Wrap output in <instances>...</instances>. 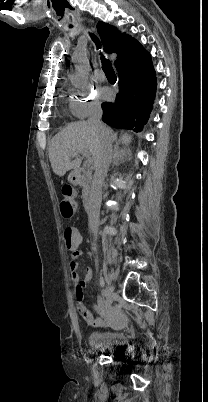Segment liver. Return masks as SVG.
<instances>
[{"mask_svg":"<svg viewBox=\"0 0 208 402\" xmlns=\"http://www.w3.org/2000/svg\"><path fill=\"white\" fill-rule=\"evenodd\" d=\"M107 136H110L109 130L105 134L96 126H90L88 122L69 124L62 132L56 134L49 144V160L54 174L64 176L68 170H78L81 160L79 162H76V160L70 162L72 154L89 152L92 156L93 164H96L102 140ZM122 140L123 144H129L131 138L128 134H124Z\"/></svg>","mask_w":208,"mask_h":402,"instance_id":"liver-1","label":"liver"}]
</instances>
